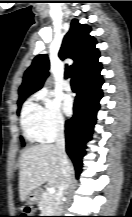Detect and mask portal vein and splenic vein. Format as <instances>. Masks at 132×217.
I'll return each mask as SVG.
<instances>
[{
  "mask_svg": "<svg viewBox=\"0 0 132 217\" xmlns=\"http://www.w3.org/2000/svg\"><path fill=\"white\" fill-rule=\"evenodd\" d=\"M48 191H49L50 194H54V193L56 192V190H55L54 187H50V188L48 189Z\"/></svg>",
  "mask_w": 132,
  "mask_h": 217,
  "instance_id": "18ae733b",
  "label": "portal vein and splenic vein"
}]
</instances>
